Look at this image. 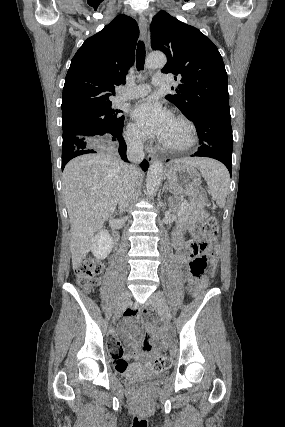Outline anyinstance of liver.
Listing matches in <instances>:
<instances>
[{
  "label": "liver",
  "instance_id": "6515ba94",
  "mask_svg": "<svg viewBox=\"0 0 285 427\" xmlns=\"http://www.w3.org/2000/svg\"><path fill=\"white\" fill-rule=\"evenodd\" d=\"M204 169L213 161H176ZM126 164L112 152L86 154L71 160L62 175V192L70 220V249L77 269L92 247L94 234L114 213ZM141 173L138 174L137 180Z\"/></svg>",
  "mask_w": 285,
  "mask_h": 427
}]
</instances>
